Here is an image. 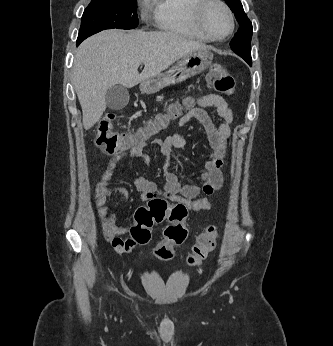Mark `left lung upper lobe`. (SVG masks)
Listing matches in <instances>:
<instances>
[{
	"mask_svg": "<svg viewBox=\"0 0 333 346\" xmlns=\"http://www.w3.org/2000/svg\"><path fill=\"white\" fill-rule=\"evenodd\" d=\"M224 1L235 14V17L240 25V28L230 43L231 49L242 57L249 65H251L252 23L245 14L240 0Z\"/></svg>",
	"mask_w": 333,
	"mask_h": 346,
	"instance_id": "obj_1",
	"label": "left lung upper lobe"
}]
</instances>
